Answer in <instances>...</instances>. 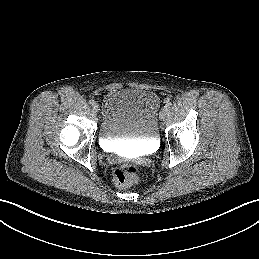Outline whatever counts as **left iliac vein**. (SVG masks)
<instances>
[{"instance_id":"left-iliac-vein-1","label":"left iliac vein","mask_w":259,"mask_h":259,"mask_svg":"<svg viewBox=\"0 0 259 259\" xmlns=\"http://www.w3.org/2000/svg\"><path fill=\"white\" fill-rule=\"evenodd\" d=\"M167 114H168V108L166 107H163L160 111V114H159V118L161 120H164L166 117H167Z\"/></svg>"}]
</instances>
